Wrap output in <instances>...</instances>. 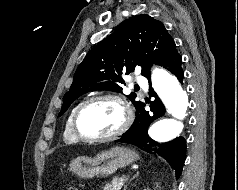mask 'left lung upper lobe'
Instances as JSON below:
<instances>
[{"label":"left lung upper lobe","mask_w":238,"mask_h":190,"mask_svg":"<svg viewBox=\"0 0 238 190\" xmlns=\"http://www.w3.org/2000/svg\"><path fill=\"white\" fill-rule=\"evenodd\" d=\"M176 50L173 38L162 22L141 14L123 21L118 28L97 44L76 70L70 90L63 97L58 116L81 95L94 90L122 92V74H130L136 66L150 77V66L161 65ZM135 108L142 103L136 94L127 95Z\"/></svg>","instance_id":"left-lung-upper-lobe-1"}]
</instances>
